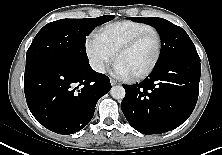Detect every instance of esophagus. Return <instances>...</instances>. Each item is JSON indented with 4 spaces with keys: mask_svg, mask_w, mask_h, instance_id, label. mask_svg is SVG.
Returning a JSON list of instances; mask_svg holds the SVG:
<instances>
[{
    "mask_svg": "<svg viewBox=\"0 0 222 155\" xmlns=\"http://www.w3.org/2000/svg\"><path fill=\"white\" fill-rule=\"evenodd\" d=\"M110 83H111V85H117L118 84V82L114 79H110Z\"/></svg>",
    "mask_w": 222,
    "mask_h": 155,
    "instance_id": "1",
    "label": "esophagus"
}]
</instances>
